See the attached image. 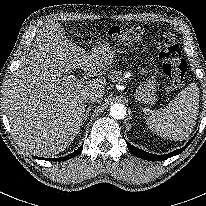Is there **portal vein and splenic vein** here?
Returning <instances> with one entry per match:
<instances>
[{
    "label": "portal vein and splenic vein",
    "mask_w": 206,
    "mask_h": 206,
    "mask_svg": "<svg viewBox=\"0 0 206 206\" xmlns=\"http://www.w3.org/2000/svg\"><path fill=\"white\" fill-rule=\"evenodd\" d=\"M65 85L67 86H76L82 83L81 80L76 78L75 76H69L67 79H65Z\"/></svg>",
    "instance_id": "1"
}]
</instances>
